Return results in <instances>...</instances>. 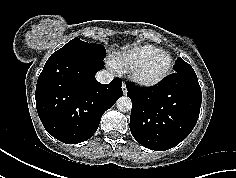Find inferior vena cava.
<instances>
[{
	"label": "inferior vena cava",
	"instance_id": "obj_1",
	"mask_svg": "<svg viewBox=\"0 0 236 178\" xmlns=\"http://www.w3.org/2000/svg\"><path fill=\"white\" fill-rule=\"evenodd\" d=\"M96 79L102 84H108L114 79V74L107 70H103L96 74Z\"/></svg>",
	"mask_w": 236,
	"mask_h": 178
}]
</instances>
